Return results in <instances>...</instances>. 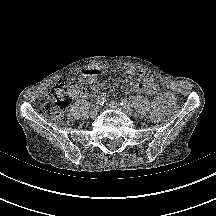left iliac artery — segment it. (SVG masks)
Returning <instances> with one entry per match:
<instances>
[{
  "instance_id": "left-iliac-artery-1",
  "label": "left iliac artery",
  "mask_w": 216,
  "mask_h": 216,
  "mask_svg": "<svg viewBox=\"0 0 216 216\" xmlns=\"http://www.w3.org/2000/svg\"><path fill=\"white\" fill-rule=\"evenodd\" d=\"M120 105L125 107V108H132L133 107V105L125 99L121 100Z\"/></svg>"
}]
</instances>
